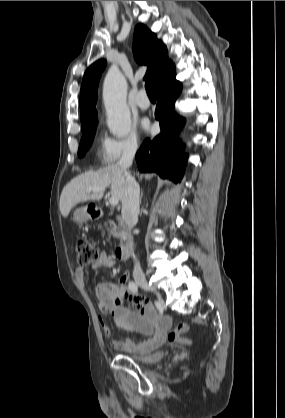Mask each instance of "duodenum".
I'll return each mask as SVG.
<instances>
[{"mask_svg": "<svg viewBox=\"0 0 285 418\" xmlns=\"http://www.w3.org/2000/svg\"><path fill=\"white\" fill-rule=\"evenodd\" d=\"M101 216H103V213H98L95 218H100ZM117 220L118 222H121V219L118 218ZM124 240V244L119 246L116 251V255L120 260H127L130 258L133 250L132 234L127 229H124Z\"/></svg>", "mask_w": 285, "mask_h": 418, "instance_id": "1", "label": "duodenum"}]
</instances>
